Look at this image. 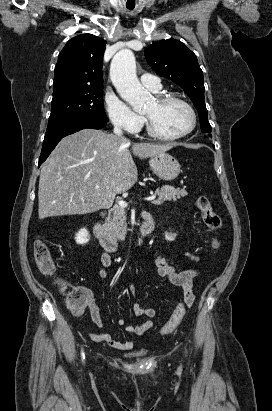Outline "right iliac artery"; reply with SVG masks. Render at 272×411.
<instances>
[{
  "mask_svg": "<svg viewBox=\"0 0 272 411\" xmlns=\"http://www.w3.org/2000/svg\"><path fill=\"white\" fill-rule=\"evenodd\" d=\"M81 357H82V361H84V359H85V355H84L83 350H82V352H81Z\"/></svg>",
  "mask_w": 272,
  "mask_h": 411,
  "instance_id": "1",
  "label": "right iliac artery"
}]
</instances>
